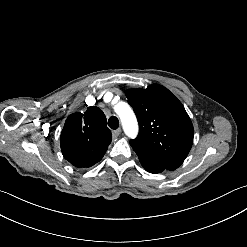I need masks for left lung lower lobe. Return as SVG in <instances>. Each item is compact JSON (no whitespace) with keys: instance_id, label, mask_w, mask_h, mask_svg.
<instances>
[{"instance_id":"obj_1","label":"left lung lower lobe","mask_w":247,"mask_h":247,"mask_svg":"<svg viewBox=\"0 0 247 247\" xmlns=\"http://www.w3.org/2000/svg\"><path fill=\"white\" fill-rule=\"evenodd\" d=\"M140 162L142 164V166L144 167V169L150 173H161L163 172L165 169H162L161 167H158L154 164L148 163L146 161H143L140 159Z\"/></svg>"}]
</instances>
